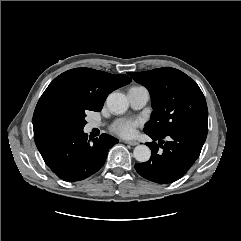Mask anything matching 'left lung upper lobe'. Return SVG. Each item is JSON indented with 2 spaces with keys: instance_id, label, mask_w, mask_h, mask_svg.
Wrapping results in <instances>:
<instances>
[{
  "instance_id": "5c2ea615",
  "label": "left lung upper lobe",
  "mask_w": 241,
  "mask_h": 241,
  "mask_svg": "<svg viewBox=\"0 0 241 241\" xmlns=\"http://www.w3.org/2000/svg\"><path fill=\"white\" fill-rule=\"evenodd\" d=\"M151 95L152 120L144 132L164 136L192 127H207L208 109L199 86L174 68L128 73Z\"/></svg>"
}]
</instances>
